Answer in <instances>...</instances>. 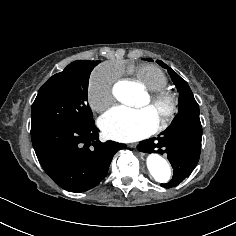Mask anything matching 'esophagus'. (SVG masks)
Listing matches in <instances>:
<instances>
[{
	"mask_svg": "<svg viewBox=\"0 0 236 236\" xmlns=\"http://www.w3.org/2000/svg\"><path fill=\"white\" fill-rule=\"evenodd\" d=\"M129 147L135 148L136 145L135 144H131V145H129Z\"/></svg>",
	"mask_w": 236,
	"mask_h": 236,
	"instance_id": "1",
	"label": "esophagus"
}]
</instances>
